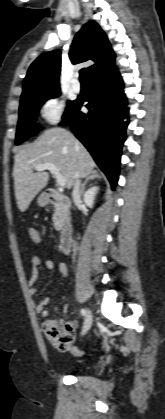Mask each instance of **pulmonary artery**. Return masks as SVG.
Instances as JSON below:
<instances>
[{
    "label": "pulmonary artery",
    "mask_w": 165,
    "mask_h": 419,
    "mask_svg": "<svg viewBox=\"0 0 165 419\" xmlns=\"http://www.w3.org/2000/svg\"><path fill=\"white\" fill-rule=\"evenodd\" d=\"M78 77V75L76 76V78ZM72 90L74 92H79L81 90V85L79 83V81L76 79L73 84H72Z\"/></svg>",
    "instance_id": "obj_1"
}]
</instances>
